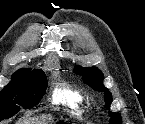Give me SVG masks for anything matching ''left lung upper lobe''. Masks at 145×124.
<instances>
[{
  "instance_id": "left-lung-upper-lobe-1",
  "label": "left lung upper lobe",
  "mask_w": 145,
  "mask_h": 124,
  "mask_svg": "<svg viewBox=\"0 0 145 124\" xmlns=\"http://www.w3.org/2000/svg\"><path fill=\"white\" fill-rule=\"evenodd\" d=\"M74 72L78 75H83L85 83L91 86L93 89L98 91L105 92L106 107L109 108V105L112 102L111 93L108 92V89L103 86V74L96 67L81 68L80 66L76 67ZM111 116V124H120L121 118L118 113L109 112Z\"/></svg>"
}]
</instances>
